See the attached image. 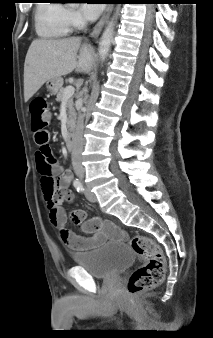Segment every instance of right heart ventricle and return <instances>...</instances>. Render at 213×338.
Here are the masks:
<instances>
[{"mask_svg":"<svg viewBox=\"0 0 213 338\" xmlns=\"http://www.w3.org/2000/svg\"><path fill=\"white\" fill-rule=\"evenodd\" d=\"M63 12L62 5L39 4L36 12L37 33L45 38H59L67 35L71 28L64 22Z\"/></svg>","mask_w":213,"mask_h":338,"instance_id":"1","label":"right heart ventricle"}]
</instances>
